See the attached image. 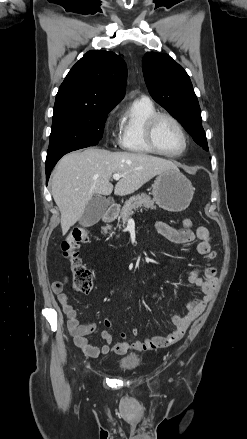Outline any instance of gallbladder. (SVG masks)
<instances>
[{
	"instance_id": "1",
	"label": "gallbladder",
	"mask_w": 247,
	"mask_h": 439,
	"mask_svg": "<svg viewBox=\"0 0 247 439\" xmlns=\"http://www.w3.org/2000/svg\"><path fill=\"white\" fill-rule=\"evenodd\" d=\"M109 203L110 202L106 198L101 196L92 198L86 205L79 223L84 227H89L96 224L104 215Z\"/></svg>"
}]
</instances>
